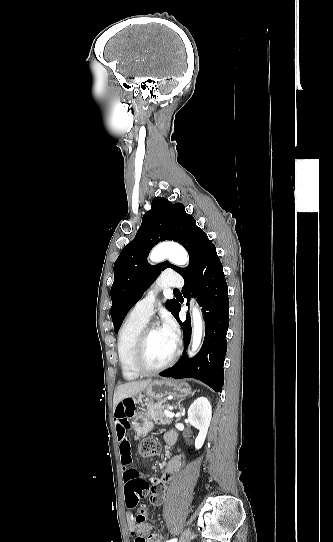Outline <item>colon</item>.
Instances as JSON below:
<instances>
[{
  "label": "colon",
  "mask_w": 333,
  "mask_h": 542,
  "mask_svg": "<svg viewBox=\"0 0 333 542\" xmlns=\"http://www.w3.org/2000/svg\"><path fill=\"white\" fill-rule=\"evenodd\" d=\"M139 454L142 458H152L159 451L158 442L154 439L146 438L140 441L138 445ZM127 465L123 467L122 472L125 480L130 483H126L124 486L123 497L125 502V521L127 524L141 525L143 523V516L147 514L148 509L146 506H138L145 498L146 492L149 489V485L146 481L140 480L141 473L133 465Z\"/></svg>",
  "instance_id": "1"
}]
</instances>
